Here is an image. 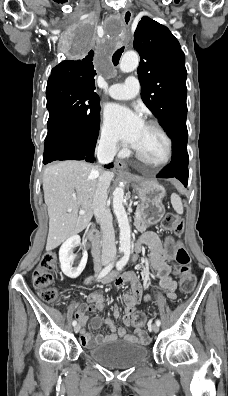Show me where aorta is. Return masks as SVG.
Masks as SVG:
<instances>
[{
  "instance_id": "1",
  "label": "aorta",
  "mask_w": 228,
  "mask_h": 396,
  "mask_svg": "<svg viewBox=\"0 0 228 396\" xmlns=\"http://www.w3.org/2000/svg\"><path fill=\"white\" fill-rule=\"evenodd\" d=\"M139 56L136 52H126L119 63L122 72H131L138 67ZM124 189L122 186L117 187L113 193V211L117 218L120 228V250L130 251L131 248V230L128 217L123 206Z\"/></svg>"
}]
</instances>
